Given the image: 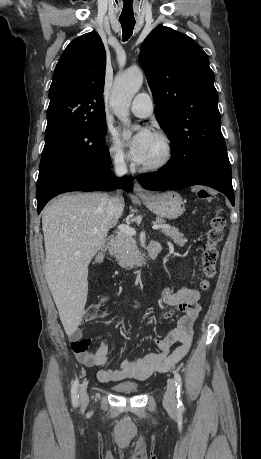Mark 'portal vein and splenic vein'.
<instances>
[{"instance_id": "18ae733b", "label": "portal vein and splenic vein", "mask_w": 261, "mask_h": 459, "mask_svg": "<svg viewBox=\"0 0 261 459\" xmlns=\"http://www.w3.org/2000/svg\"><path fill=\"white\" fill-rule=\"evenodd\" d=\"M152 228L154 230H159V229H162V228H170L169 225H166V224H153ZM118 229L120 230V232H124V233H127L131 236L135 235L136 234V231L134 228H132L131 226L129 225H126V224H121L118 226ZM97 230H94V232H96Z\"/></svg>"}]
</instances>
